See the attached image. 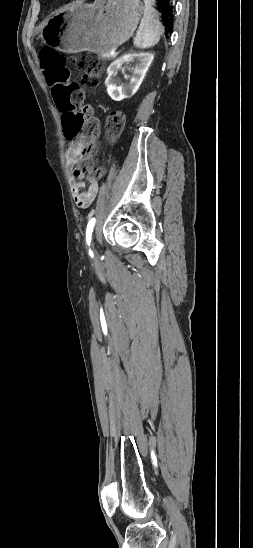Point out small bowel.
Returning a JSON list of instances; mask_svg holds the SVG:
<instances>
[{
	"mask_svg": "<svg viewBox=\"0 0 253 548\" xmlns=\"http://www.w3.org/2000/svg\"><path fill=\"white\" fill-rule=\"evenodd\" d=\"M84 147L85 137L83 135L82 137H71L65 154L71 194L76 205L80 208H87L91 205L98 192L96 179L87 178L89 186L86 187L83 181L85 176L76 171V165L82 157Z\"/></svg>",
	"mask_w": 253,
	"mask_h": 548,
	"instance_id": "obj_1",
	"label": "small bowel"
}]
</instances>
